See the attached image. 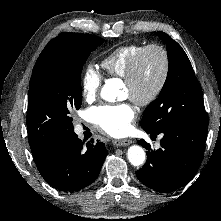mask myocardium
<instances>
[{"mask_svg": "<svg viewBox=\"0 0 221 221\" xmlns=\"http://www.w3.org/2000/svg\"><path fill=\"white\" fill-rule=\"evenodd\" d=\"M152 51H156L162 58V72L160 79L154 89L145 97H137L134 94L130 96V99L138 106H148L155 102L165 89L171 70V60L168 50L161 44L152 43L144 46L136 57L131 62L126 75L123 77L125 85L129 88H133L139 74L144 57Z\"/></svg>", "mask_w": 221, "mask_h": 221, "instance_id": "obj_1", "label": "myocardium"}]
</instances>
